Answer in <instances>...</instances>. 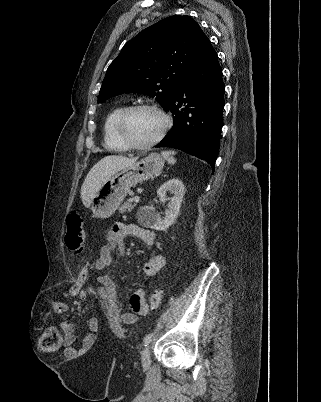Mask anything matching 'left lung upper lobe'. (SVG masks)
Listing matches in <instances>:
<instances>
[{
    "instance_id": "1",
    "label": "left lung upper lobe",
    "mask_w": 321,
    "mask_h": 402,
    "mask_svg": "<svg viewBox=\"0 0 321 402\" xmlns=\"http://www.w3.org/2000/svg\"><path fill=\"white\" fill-rule=\"evenodd\" d=\"M209 40L190 16L174 15L144 29L109 65L98 103L122 93L155 97L167 109L179 82Z\"/></svg>"
}]
</instances>
